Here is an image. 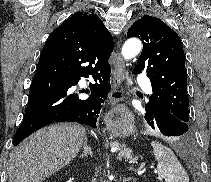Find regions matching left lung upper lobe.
<instances>
[{
  "label": "left lung upper lobe",
  "mask_w": 211,
  "mask_h": 182,
  "mask_svg": "<svg viewBox=\"0 0 211 182\" xmlns=\"http://www.w3.org/2000/svg\"><path fill=\"white\" fill-rule=\"evenodd\" d=\"M127 36L138 37L143 42L133 73L146 71L150 77L153 95L145 105V117L163 109L188 123L185 57L179 36L159 18L149 15L137 20L129 28Z\"/></svg>",
  "instance_id": "5c2ea615"
}]
</instances>
